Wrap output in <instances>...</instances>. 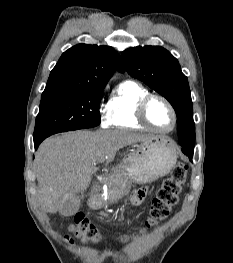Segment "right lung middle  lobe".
<instances>
[{"label": "right lung middle lobe", "mask_w": 233, "mask_h": 263, "mask_svg": "<svg viewBox=\"0 0 233 263\" xmlns=\"http://www.w3.org/2000/svg\"><path fill=\"white\" fill-rule=\"evenodd\" d=\"M104 89L64 91L42 95L36 118L34 141L58 132L100 124L99 105Z\"/></svg>", "instance_id": "1"}]
</instances>
